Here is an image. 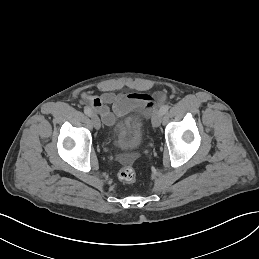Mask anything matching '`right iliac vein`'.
<instances>
[{"label": "right iliac vein", "mask_w": 259, "mask_h": 259, "mask_svg": "<svg viewBox=\"0 0 259 259\" xmlns=\"http://www.w3.org/2000/svg\"><path fill=\"white\" fill-rule=\"evenodd\" d=\"M91 120L96 129H99L101 126L100 120L97 115L93 114L91 115Z\"/></svg>", "instance_id": "63e3f726"}]
</instances>
